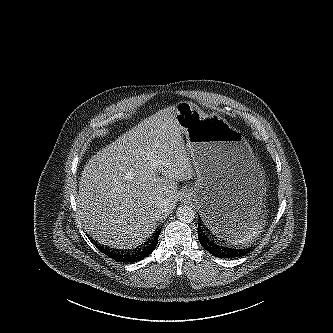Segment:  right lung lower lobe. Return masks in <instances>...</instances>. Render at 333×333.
I'll list each match as a JSON object with an SVG mask.
<instances>
[{
	"mask_svg": "<svg viewBox=\"0 0 333 333\" xmlns=\"http://www.w3.org/2000/svg\"><path fill=\"white\" fill-rule=\"evenodd\" d=\"M159 231L151 237L152 239L149 240L150 243L145 247L142 251H139L135 254H122L120 252H115L106 248L101 247L100 245L97 246L104 254H106L108 257L115 259L116 261L119 262H136L140 261L143 258L147 257L152 253V251L155 249L157 242H158V237H159Z\"/></svg>",
	"mask_w": 333,
	"mask_h": 333,
	"instance_id": "98d812e1",
	"label": "right lung lower lobe"
}]
</instances>
